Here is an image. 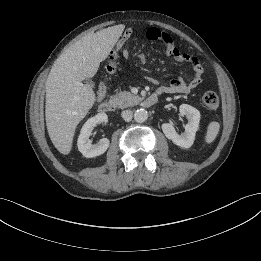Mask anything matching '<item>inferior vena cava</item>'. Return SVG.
I'll return each instance as SVG.
<instances>
[{
    "mask_svg": "<svg viewBox=\"0 0 261 261\" xmlns=\"http://www.w3.org/2000/svg\"><path fill=\"white\" fill-rule=\"evenodd\" d=\"M121 116L126 122H129L132 120L133 112L131 110H124L121 112Z\"/></svg>",
    "mask_w": 261,
    "mask_h": 261,
    "instance_id": "602c4592",
    "label": "inferior vena cava"
}]
</instances>
